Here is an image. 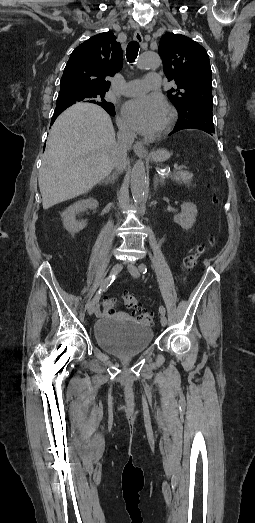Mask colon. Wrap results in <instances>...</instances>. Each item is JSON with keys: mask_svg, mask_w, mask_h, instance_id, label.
<instances>
[{"mask_svg": "<svg viewBox=\"0 0 255 523\" xmlns=\"http://www.w3.org/2000/svg\"><path fill=\"white\" fill-rule=\"evenodd\" d=\"M214 237L210 238V240L207 243L200 244L193 252L189 253L182 264L183 271H189L191 270L197 261L200 259L201 256H203L209 247L213 244ZM124 304L125 306L132 310L134 317L142 324L150 325L153 323L154 316L150 312H139L138 307L139 303L137 299L131 295L126 294L124 296ZM118 309V304L115 300L111 298H105L102 301V312L104 314H111L114 313Z\"/></svg>", "mask_w": 255, "mask_h": 523, "instance_id": "colon-1", "label": "colon"}]
</instances>
